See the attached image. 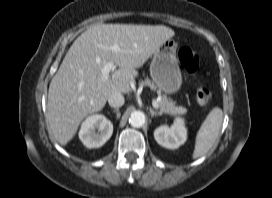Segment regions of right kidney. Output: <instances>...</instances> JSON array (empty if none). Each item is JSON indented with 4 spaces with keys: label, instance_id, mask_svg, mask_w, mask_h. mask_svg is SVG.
<instances>
[{
    "label": "right kidney",
    "instance_id": "1",
    "mask_svg": "<svg viewBox=\"0 0 272 198\" xmlns=\"http://www.w3.org/2000/svg\"><path fill=\"white\" fill-rule=\"evenodd\" d=\"M113 124L105 116H89L81 126L79 138L87 148H99L112 136Z\"/></svg>",
    "mask_w": 272,
    "mask_h": 198
}]
</instances>
